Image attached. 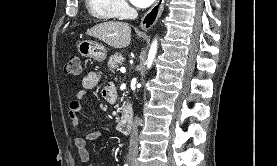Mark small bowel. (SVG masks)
I'll use <instances>...</instances> for the list:
<instances>
[{
  "instance_id": "1",
  "label": "small bowel",
  "mask_w": 277,
  "mask_h": 166,
  "mask_svg": "<svg viewBox=\"0 0 277 166\" xmlns=\"http://www.w3.org/2000/svg\"><path fill=\"white\" fill-rule=\"evenodd\" d=\"M100 80L99 73L95 71L88 72L82 79V87L75 98L70 102L68 116L72 127L77 130L80 126L79 112L82 109V101L85 95H87L92 89L96 87ZM102 97L109 103H112L116 99V89L113 85H107L102 89ZM102 135L101 130H93L87 133L85 136L76 137L74 139V147L82 163L86 164L90 160V154L87 149V142L100 138Z\"/></svg>"
}]
</instances>
